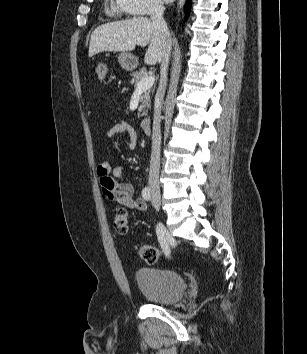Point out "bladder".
<instances>
[{
    "mask_svg": "<svg viewBox=\"0 0 307 354\" xmlns=\"http://www.w3.org/2000/svg\"><path fill=\"white\" fill-rule=\"evenodd\" d=\"M135 279L145 298L154 303H175L183 297L186 290L184 277L165 268L140 267L135 272Z\"/></svg>",
    "mask_w": 307,
    "mask_h": 354,
    "instance_id": "obj_1",
    "label": "bladder"
}]
</instances>
